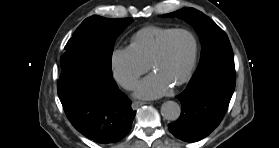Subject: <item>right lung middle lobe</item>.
Returning <instances> with one entry per match:
<instances>
[{
    "instance_id": "right-lung-middle-lobe-1",
    "label": "right lung middle lobe",
    "mask_w": 279,
    "mask_h": 148,
    "mask_svg": "<svg viewBox=\"0 0 279 148\" xmlns=\"http://www.w3.org/2000/svg\"><path fill=\"white\" fill-rule=\"evenodd\" d=\"M132 21L131 18L112 19L93 15L82 22L66 47L75 44L90 46L96 50L105 70L112 72L111 58L115 40Z\"/></svg>"
}]
</instances>
